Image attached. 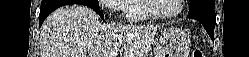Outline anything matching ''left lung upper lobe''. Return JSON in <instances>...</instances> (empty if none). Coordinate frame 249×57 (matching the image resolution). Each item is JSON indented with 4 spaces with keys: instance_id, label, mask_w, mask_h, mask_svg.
Segmentation results:
<instances>
[{
    "instance_id": "5c2ea615",
    "label": "left lung upper lobe",
    "mask_w": 249,
    "mask_h": 57,
    "mask_svg": "<svg viewBox=\"0 0 249 57\" xmlns=\"http://www.w3.org/2000/svg\"><path fill=\"white\" fill-rule=\"evenodd\" d=\"M208 8H215L214 0H190V9L188 13H193Z\"/></svg>"
}]
</instances>
